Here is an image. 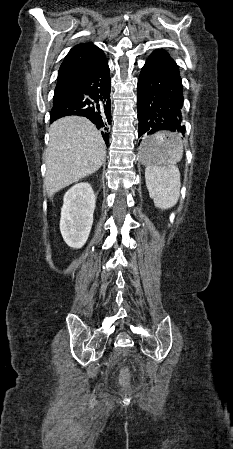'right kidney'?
Listing matches in <instances>:
<instances>
[{
  "instance_id": "ca27d5eb",
  "label": "right kidney",
  "mask_w": 233,
  "mask_h": 449,
  "mask_svg": "<svg viewBox=\"0 0 233 449\" xmlns=\"http://www.w3.org/2000/svg\"><path fill=\"white\" fill-rule=\"evenodd\" d=\"M96 197L89 183H78L64 195L60 231L66 244L75 249L86 243L93 224Z\"/></svg>"
}]
</instances>
